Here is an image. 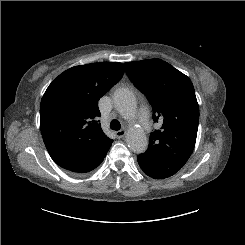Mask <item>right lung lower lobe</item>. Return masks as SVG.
<instances>
[{
	"instance_id": "1",
	"label": "right lung lower lobe",
	"mask_w": 245,
	"mask_h": 245,
	"mask_svg": "<svg viewBox=\"0 0 245 245\" xmlns=\"http://www.w3.org/2000/svg\"><path fill=\"white\" fill-rule=\"evenodd\" d=\"M112 142L105 146L97 155H95L88 164L84 165L83 167L79 168L78 170L72 172L75 174H82L89 172L93 169H95L97 166L101 164V162L104 160Z\"/></svg>"
}]
</instances>
